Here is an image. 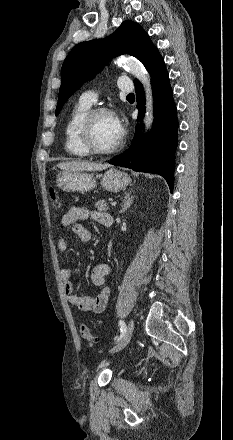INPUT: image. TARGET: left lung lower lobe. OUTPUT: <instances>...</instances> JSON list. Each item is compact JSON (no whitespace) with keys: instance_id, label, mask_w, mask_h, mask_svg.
<instances>
[{"instance_id":"left-lung-lower-lobe-1","label":"left lung lower lobe","mask_w":233,"mask_h":440,"mask_svg":"<svg viewBox=\"0 0 233 440\" xmlns=\"http://www.w3.org/2000/svg\"><path fill=\"white\" fill-rule=\"evenodd\" d=\"M147 70L154 96L155 119L151 132L143 138L140 135L141 126L137 125L131 146L109 163L138 172L159 174L166 179L172 192L178 120L169 75L160 53L152 58ZM134 83L139 110L137 121H141L145 113L144 91L138 80Z\"/></svg>"}]
</instances>
